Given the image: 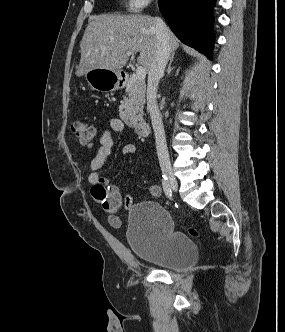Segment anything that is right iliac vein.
Instances as JSON below:
<instances>
[{"label":"right iliac vein","mask_w":285,"mask_h":332,"mask_svg":"<svg viewBox=\"0 0 285 332\" xmlns=\"http://www.w3.org/2000/svg\"><path fill=\"white\" fill-rule=\"evenodd\" d=\"M162 172L167 177L169 186L173 191H177L178 183L177 180L173 174V170L170 165H162Z\"/></svg>","instance_id":"obj_1"}]
</instances>
